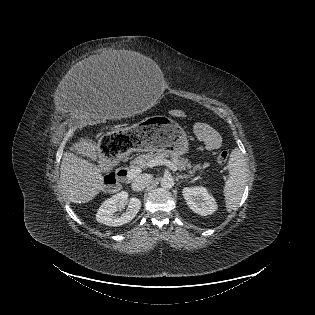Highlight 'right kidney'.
I'll return each mask as SVG.
<instances>
[{
  "label": "right kidney",
  "mask_w": 315,
  "mask_h": 315,
  "mask_svg": "<svg viewBox=\"0 0 315 315\" xmlns=\"http://www.w3.org/2000/svg\"><path fill=\"white\" fill-rule=\"evenodd\" d=\"M127 200L128 193L125 191L113 195L101 204L96 214V220L99 223L114 227L129 223L140 210L141 201L135 197L130 198L129 202ZM127 202L128 207L126 212L121 216L114 215V213L124 207Z\"/></svg>",
  "instance_id": "obj_1"
}]
</instances>
